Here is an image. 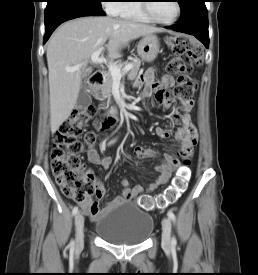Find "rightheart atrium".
<instances>
[{
    "instance_id": "1",
    "label": "right heart atrium",
    "mask_w": 258,
    "mask_h": 275,
    "mask_svg": "<svg viewBox=\"0 0 258 275\" xmlns=\"http://www.w3.org/2000/svg\"><path fill=\"white\" fill-rule=\"evenodd\" d=\"M105 2H106L105 5H106L108 12L111 14H114L119 7V3H117V2H120V1L106 0Z\"/></svg>"
}]
</instances>
